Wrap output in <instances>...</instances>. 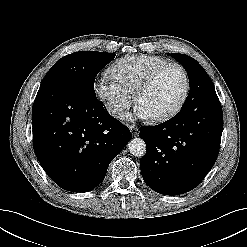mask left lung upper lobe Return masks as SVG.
Wrapping results in <instances>:
<instances>
[{
	"label": "left lung upper lobe",
	"instance_id": "left-lung-upper-lobe-1",
	"mask_svg": "<svg viewBox=\"0 0 247 247\" xmlns=\"http://www.w3.org/2000/svg\"><path fill=\"white\" fill-rule=\"evenodd\" d=\"M172 57L186 68L190 82V91L182 108L189 106L196 101L195 99H200V97L212 98L217 96L210 77L194 58L179 53H172Z\"/></svg>",
	"mask_w": 247,
	"mask_h": 247
}]
</instances>
